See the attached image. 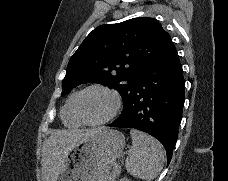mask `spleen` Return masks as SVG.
I'll list each match as a JSON object with an SVG mask.
<instances>
[{"label": "spleen", "mask_w": 228, "mask_h": 181, "mask_svg": "<svg viewBox=\"0 0 228 181\" xmlns=\"http://www.w3.org/2000/svg\"><path fill=\"white\" fill-rule=\"evenodd\" d=\"M130 135L133 147L128 151L125 169L133 177L143 181H153L164 167L163 147L157 139L136 129H132Z\"/></svg>", "instance_id": "3e777b00"}]
</instances>
